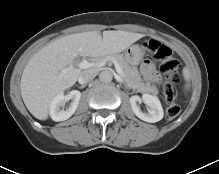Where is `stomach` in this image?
<instances>
[{
  "label": "stomach",
  "mask_w": 219,
  "mask_h": 174,
  "mask_svg": "<svg viewBox=\"0 0 219 174\" xmlns=\"http://www.w3.org/2000/svg\"><path fill=\"white\" fill-rule=\"evenodd\" d=\"M144 56L143 47L138 44L130 46L125 53L126 61L131 65H137L141 62Z\"/></svg>",
  "instance_id": "1"
}]
</instances>
